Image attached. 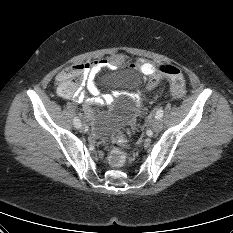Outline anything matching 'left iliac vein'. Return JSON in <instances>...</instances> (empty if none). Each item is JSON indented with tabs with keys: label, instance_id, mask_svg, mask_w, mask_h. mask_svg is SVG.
Here are the masks:
<instances>
[{
	"label": "left iliac vein",
	"instance_id": "4c4485c4",
	"mask_svg": "<svg viewBox=\"0 0 233 233\" xmlns=\"http://www.w3.org/2000/svg\"><path fill=\"white\" fill-rule=\"evenodd\" d=\"M152 130L154 132H160L163 128V123L160 119H155L153 122H152Z\"/></svg>",
	"mask_w": 233,
	"mask_h": 233
}]
</instances>
